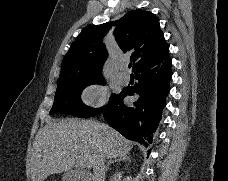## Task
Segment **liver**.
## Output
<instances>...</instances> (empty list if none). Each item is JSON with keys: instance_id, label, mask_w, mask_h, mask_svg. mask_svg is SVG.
I'll list each match as a JSON object with an SVG mask.
<instances>
[{"instance_id": "liver-1", "label": "liver", "mask_w": 228, "mask_h": 181, "mask_svg": "<svg viewBox=\"0 0 228 181\" xmlns=\"http://www.w3.org/2000/svg\"><path fill=\"white\" fill-rule=\"evenodd\" d=\"M94 127H98L97 135H94ZM132 147L130 141L104 123L51 119L39 131L34 141L30 179L45 181L50 175L72 171L79 157L85 161L87 169H92L95 157H124Z\"/></svg>"}]
</instances>
